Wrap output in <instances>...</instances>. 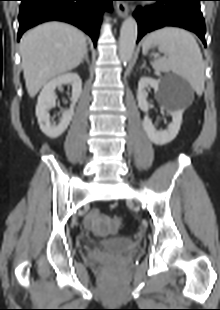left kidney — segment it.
Returning <instances> with one entry per match:
<instances>
[{
    "label": "left kidney",
    "mask_w": 220,
    "mask_h": 310,
    "mask_svg": "<svg viewBox=\"0 0 220 310\" xmlns=\"http://www.w3.org/2000/svg\"><path fill=\"white\" fill-rule=\"evenodd\" d=\"M153 88L158 94L159 99H164L170 88L160 80H155L149 77H142L138 83L137 100L139 108L146 113L143 120V128L151 142L156 145H165L171 142L178 134L182 123V114L184 112L183 107L174 108L172 104L167 103V112L172 116V122L168 128L163 131H158L152 124V121L148 117L149 103L147 101L148 93L147 88Z\"/></svg>",
    "instance_id": "5707ae66"
}]
</instances>
